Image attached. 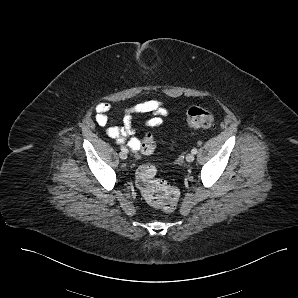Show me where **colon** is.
I'll return each instance as SVG.
<instances>
[{"label": "colon", "instance_id": "obj_1", "mask_svg": "<svg viewBox=\"0 0 298 298\" xmlns=\"http://www.w3.org/2000/svg\"><path fill=\"white\" fill-rule=\"evenodd\" d=\"M186 123L191 128L209 129L214 126V117L207 108L195 105L188 109ZM155 147L156 140L153 133L146 132L140 142L139 151L148 155L154 152ZM136 183L150 205L165 211L175 209L179 200V191L165 180L156 178L154 165H141L136 172Z\"/></svg>", "mask_w": 298, "mask_h": 298}]
</instances>
